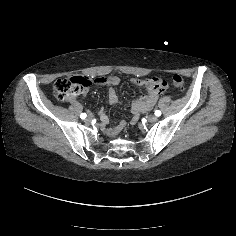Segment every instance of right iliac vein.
<instances>
[{
    "label": "right iliac vein",
    "mask_w": 236,
    "mask_h": 236,
    "mask_svg": "<svg viewBox=\"0 0 236 236\" xmlns=\"http://www.w3.org/2000/svg\"><path fill=\"white\" fill-rule=\"evenodd\" d=\"M92 118H93L92 114H89L85 120L86 122H91Z\"/></svg>",
    "instance_id": "63e3f726"
}]
</instances>
